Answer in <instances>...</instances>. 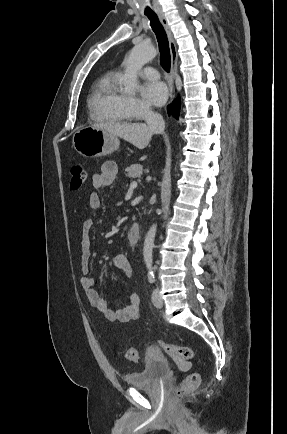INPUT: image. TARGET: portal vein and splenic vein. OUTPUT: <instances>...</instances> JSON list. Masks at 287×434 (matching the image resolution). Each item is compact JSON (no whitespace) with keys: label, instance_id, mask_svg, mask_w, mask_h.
<instances>
[{"label":"portal vein and splenic vein","instance_id":"18ae733b","mask_svg":"<svg viewBox=\"0 0 287 434\" xmlns=\"http://www.w3.org/2000/svg\"><path fill=\"white\" fill-rule=\"evenodd\" d=\"M137 185H138V184H137L136 181H133V182L130 183V187H131V188H136Z\"/></svg>","mask_w":287,"mask_h":434}]
</instances>
